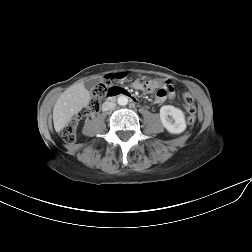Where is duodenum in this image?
Returning <instances> with one entry per match:
<instances>
[{
  "label": "duodenum",
  "instance_id": "1",
  "mask_svg": "<svg viewBox=\"0 0 252 252\" xmlns=\"http://www.w3.org/2000/svg\"><path fill=\"white\" fill-rule=\"evenodd\" d=\"M117 96H125V97H127L133 104H137V103H138V99H137L133 94H131L130 92H128V91H126V90H123V89L111 93V94L108 96V99L111 100V99H114V98L117 97Z\"/></svg>",
  "mask_w": 252,
  "mask_h": 252
}]
</instances>
